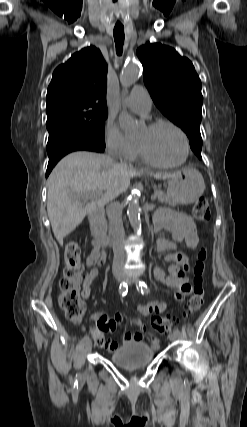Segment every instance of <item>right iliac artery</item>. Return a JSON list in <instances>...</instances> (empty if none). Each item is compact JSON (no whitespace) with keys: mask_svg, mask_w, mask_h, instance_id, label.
I'll return each instance as SVG.
<instances>
[{"mask_svg":"<svg viewBox=\"0 0 247 427\" xmlns=\"http://www.w3.org/2000/svg\"><path fill=\"white\" fill-rule=\"evenodd\" d=\"M127 291H128L127 283H125V282L121 283V284H120V286H119V293H120L122 296H125V295L127 294ZM88 340H89V336H88V335H86V336H84V337H83V339L81 340V343H82V344H86V342H87Z\"/></svg>","mask_w":247,"mask_h":427,"instance_id":"1","label":"right iliac artery"}]
</instances>
